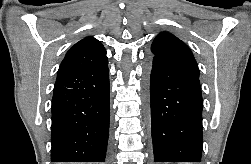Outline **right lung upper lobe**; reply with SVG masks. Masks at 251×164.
Segmentation results:
<instances>
[{
  "mask_svg": "<svg viewBox=\"0 0 251 164\" xmlns=\"http://www.w3.org/2000/svg\"><path fill=\"white\" fill-rule=\"evenodd\" d=\"M107 63L106 50L100 41L93 37H86L67 52L59 67L57 79L93 70Z\"/></svg>",
  "mask_w": 251,
  "mask_h": 164,
  "instance_id": "obj_1",
  "label": "right lung upper lobe"
}]
</instances>
